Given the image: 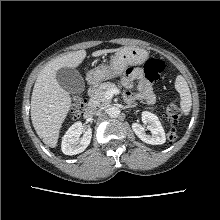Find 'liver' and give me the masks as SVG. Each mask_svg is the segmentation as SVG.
I'll return each instance as SVG.
<instances>
[{
  "instance_id": "liver-1",
  "label": "liver",
  "mask_w": 220,
  "mask_h": 220,
  "mask_svg": "<svg viewBox=\"0 0 220 220\" xmlns=\"http://www.w3.org/2000/svg\"><path fill=\"white\" fill-rule=\"evenodd\" d=\"M120 49L97 50L92 56L98 57ZM86 54L85 50H79L54 59L42 69L34 84L31 96L32 124L38 136L52 148L57 146L62 123L72 106V99L58 83L56 73L64 67L79 66Z\"/></svg>"
}]
</instances>
